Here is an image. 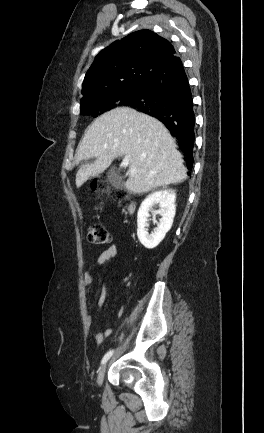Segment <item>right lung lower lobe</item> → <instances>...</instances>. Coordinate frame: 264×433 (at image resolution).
I'll use <instances>...</instances> for the list:
<instances>
[{
    "instance_id": "98d812e1",
    "label": "right lung lower lobe",
    "mask_w": 264,
    "mask_h": 433,
    "mask_svg": "<svg viewBox=\"0 0 264 433\" xmlns=\"http://www.w3.org/2000/svg\"><path fill=\"white\" fill-rule=\"evenodd\" d=\"M129 106L160 120L176 137L188 169L193 167L195 116L193 98L181 59L175 53L141 84Z\"/></svg>"
}]
</instances>
